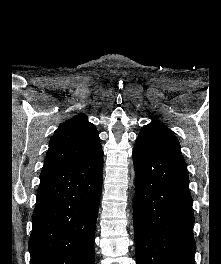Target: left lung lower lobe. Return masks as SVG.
Masks as SVG:
<instances>
[{
    "label": "left lung lower lobe",
    "mask_w": 221,
    "mask_h": 264,
    "mask_svg": "<svg viewBox=\"0 0 221 264\" xmlns=\"http://www.w3.org/2000/svg\"><path fill=\"white\" fill-rule=\"evenodd\" d=\"M133 163L137 264H195L194 215L185 162L136 142Z\"/></svg>",
    "instance_id": "obj_1"
}]
</instances>
